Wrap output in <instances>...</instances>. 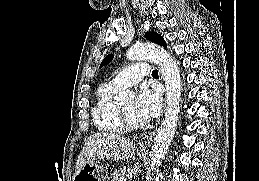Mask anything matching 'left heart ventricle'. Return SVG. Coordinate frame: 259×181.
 Returning <instances> with one entry per match:
<instances>
[{
    "instance_id": "left-heart-ventricle-1",
    "label": "left heart ventricle",
    "mask_w": 259,
    "mask_h": 181,
    "mask_svg": "<svg viewBox=\"0 0 259 181\" xmlns=\"http://www.w3.org/2000/svg\"><path fill=\"white\" fill-rule=\"evenodd\" d=\"M122 110L127 113L128 115H130L131 117H133L136 120H139L135 114V104L133 101L127 103Z\"/></svg>"
}]
</instances>
